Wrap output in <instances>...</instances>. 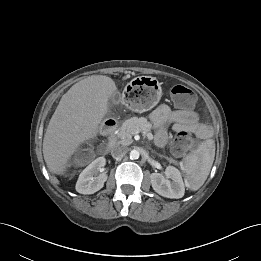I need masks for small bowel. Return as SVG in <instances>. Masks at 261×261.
<instances>
[{"mask_svg": "<svg viewBox=\"0 0 261 261\" xmlns=\"http://www.w3.org/2000/svg\"><path fill=\"white\" fill-rule=\"evenodd\" d=\"M153 126L157 129L155 142L158 146H165L168 141L167 126L172 125L175 132H189L206 139L212 134L211 127L199 121L193 110H176L166 104L159 105L150 115Z\"/></svg>", "mask_w": 261, "mask_h": 261, "instance_id": "1", "label": "small bowel"}]
</instances>
